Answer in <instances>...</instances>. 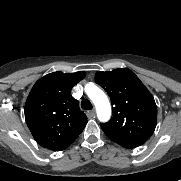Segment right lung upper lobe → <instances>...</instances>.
<instances>
[{
  "label": "right lung upper lobe",
  "instance_id": "1",
  "mask_svg": "<svg viewBox=\"0 0 181 181\" xmlns=\"http://www.w3.org/2000/svg\"><path fill=\"white\" fill-rule=\"evenodd\" d=\"M86 73L60 71L40 78L25 103L26 123L36 142L49 150L61 151L70 146L83 131L87 117L80 110L71 89Z\"/></svg>",
  "mask_w": 181,
  "mask_h": 181
}]
</instances>
